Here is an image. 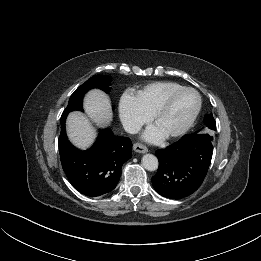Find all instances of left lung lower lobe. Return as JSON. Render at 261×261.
<instances>
[{
    "instance_id": "1",
    "label": "left lung lower lobe",
    "mask_w": 261,
    "mask_h": 261,
    "mask_svg": "<svg viewBox=\"0 0 261 261\" xmlns=\"http://www.w3.org/2000/svg\"><path fill=\"white\" fill-rule=\"evenodd\" d=\"M212 154V140L204 134L184 135L165 149L157 150L159 167L151 178L154 189L169 199L191 195L201 186Z\"/></svg>"
}]
</instances>
